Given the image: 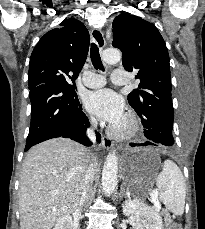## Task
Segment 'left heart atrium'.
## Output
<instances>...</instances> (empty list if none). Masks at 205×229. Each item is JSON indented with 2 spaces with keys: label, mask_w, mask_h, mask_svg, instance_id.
I'll use <instances>...</instances> for the list:
<instances>
[{
  "label": "left heart atrium",
  "mask_w": 205,
  "mask_h": 229,
  "mask_svg": "<svg viewBox=\"0 0 205 229\" xmlns=\"http://www.w3.org/2000/svg\"><path fill=\"white\" fill-rule=\"evenodd\" d=\"M86 109L98 118L118 125L123 120L122 98L110 89L92 91L85 97Z\"/></svg>",
  "instance_id": "obj_1"
}]
</instances>
